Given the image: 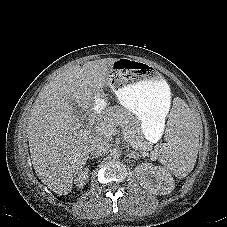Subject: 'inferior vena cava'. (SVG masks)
Returning <instances> with one entry per match:
<instances>
[{
  "instance_id": "inferior-vena-cava-1",
  "label": "inferior vena cava",
  "mask_w": 227,
  "mask_h": 227,
  "mask_svg": "<svg viewBox=\"0 0 227 227\" xmlns=\"http://www.w3.org/2000/svg\"><path fill=\"white\" fill-rule=\"evenodd\" d=\"M109 149V143L102 138H95L90 144L89 152L92 156L99 157L104 155Z\"/></svg>"
}]
</instances>
